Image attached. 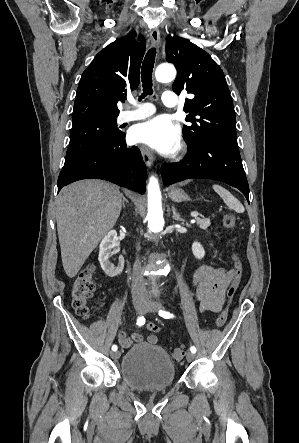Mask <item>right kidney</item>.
Returning <instances> with one entry per match:
<instances>
[{"label":"right kidney","instance_id":"1","mask_svg":"<svg viewBox=\"0 0 299 443\" xmlns=\"http://www.w3.org/2000/svg\"><path fill=\"white\" fill-rule=\"evenodd\" d=\"M116 240L117 232L115 230H111L102 239L99 247L98 260L100 262L101 268L109 277H115L119 275L124 267V258L121 255L119 256L118 266H115L110 262V256L118 252L117 250L111 251L116 245Z\"/></svg>","mask_w":299,"mask_h":443}]
</instances>
